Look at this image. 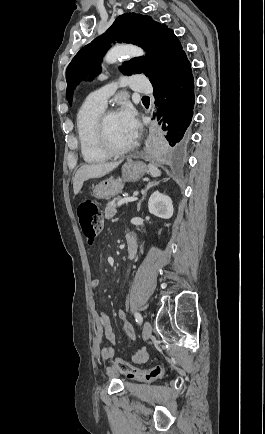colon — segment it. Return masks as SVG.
I'll return each instance as SVG.
<instances>
[{
    "label": "colon",
    "mask_w": 265,
    "mask_h": 434,
    "mask_svg": "<svg viewBox=\"0 0 265 434\" xmlns=\"http://www.w3.org/2000/svg\"><path fill=\"white\" fill-rule=\"evenodd\" d=\"M76 213L85 241L89 244L94 242L102 226V210L92 200L87 199L76 206ZM111 363L113 365L116 364L122 373L128 375L129 379L137 375L146 381H152L162 377L165 372L164 368L161 366L154 367L150 370L139 369L136 364L132 367L129 365L130 362L128 360L121 362L120 356H115Z\"/></svg>",
    "instance_id": "obj_1"
}]
</instances>
